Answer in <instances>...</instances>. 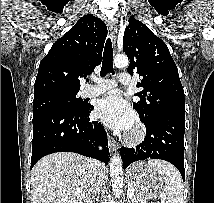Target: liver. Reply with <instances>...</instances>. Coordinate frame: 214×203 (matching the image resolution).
I'll use <instances>...</instances> for the list:
<instances>
[{"mask_svg":"<svg viewBox=\"0 0 214 203\" xmlns=\"http://www.w3.org/2000/svg\"><path fill=\"white\" fill-rule=\"evenodd\" d=\"M88 161L71 152L43 157L31 171L32 203H90Z\"/></svg>","mask_w":214,"mask_h":203,"instance_id":"1","label":"liver"}]
</instances>
